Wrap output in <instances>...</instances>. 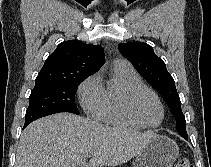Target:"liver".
I'll return each instance as SVG.
<instances>
[{"label":"liver","instance_id":"1","mask_svg":"<svg viewBox=\"0 0 211 167\" xmlns=\"http://www.w3.org/2000/svg\"><path fill=\"white\" fill-rule=\"evenodd\" d=\"M139 132L109 127L81 116L58 113L28 125L20 137L15 167H105L124 164L154 138ZM82 167V166H81Z\"/></svg>","mask_w":211,"mask_h":167}]
</instances>
